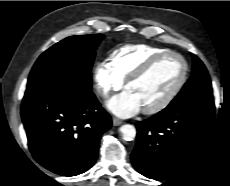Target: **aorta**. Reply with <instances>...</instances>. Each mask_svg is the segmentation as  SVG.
I'll use <instances>...</instances> for the list:
<instances>
[{
	"mask_svg": "<svg viewBox=\"0 0 230 186\" xmlns=\"http://www.w3.org/2000/svg\"><path fill=\"white\" fill-rule=\"evenodd\" d=\"M120 133L124 140L131 141L136 136V129L131 124H124L120 127Z\"/></svg>",
	"mask_w": 230,
	"mask_h": 186,
	"instance_id": "obj_1",
	"label": "aorta"
}]
</instances>
